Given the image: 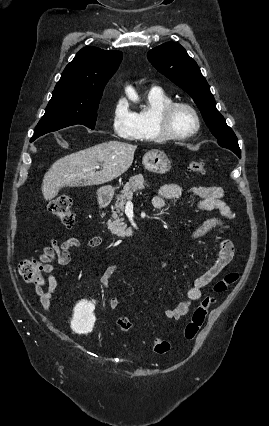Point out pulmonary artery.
I'll use <instances>...</instances> for the list:
<instances>
[{
	"mask_svg": "<svg viewBox=\"0 0 269 426\" xmlns=\"http://www.w3.org/2000/svg\"><path fill=\"white\" fill-rule=\"evenodd\" d=\"M152 89H154V90H159V88H158V87H153Z\"/></svg>",
	"mask_w": 269,
	"mask_h": 426,
	"instance_id": "obj_1",
	"label": "pulmonary artery"
}]
</instances>
